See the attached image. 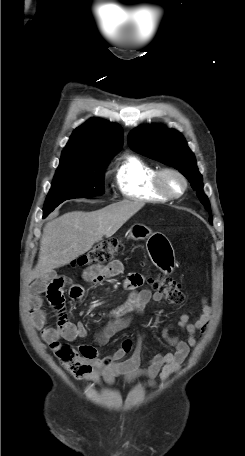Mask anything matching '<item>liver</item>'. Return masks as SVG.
Segmentation results:
<instances>
[{
    "mask_svg": "<svg viewBox=\"0 0 245 456\" xmlns=\"http://www.w3.org/2000/svg\"><path fill=\"white\" fill-rule=\"evenodd\" d=\"M144 204L124 200L96 211H72L51 219L43 228L38 262L28 282L47 277L53 269L89 251L104 236L114 235Z\"/></svg>",
    "mask_w": 245,
    "mask_h": 456,
    "instance_id": "1",
    "label": "liver"
}]
</instances>
